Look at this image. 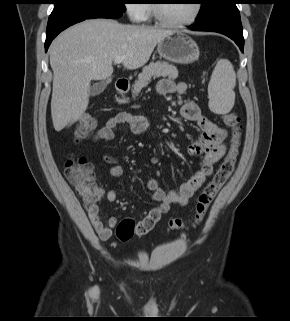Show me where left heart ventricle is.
<instances>
[{"instance_id":"1","label":"left heart ventricle","mask_w":290,"mask_h":321,"mask_svg":"<svg viewBox=\"0 0 290 321\" xmlns=\"http://www.w3.org/2000/svg\"><path fill=\"white\" fill-rule=\"evenodd\" d=\"M163 15L172 21L189 19L195 9L194 0H164L161 4Z\"/></svg>"}]
</instances>
